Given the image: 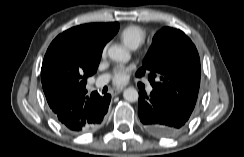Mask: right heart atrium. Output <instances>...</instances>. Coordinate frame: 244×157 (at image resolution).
<instances>
[{
	"mask_svg": "<svg viewBox=\"0 0 244 157\" xmlns=\"http://www.w3.org/2000/svg\"><path fill=\"white\" fill-rule=\"evenodd\" d=\"M106 56V47L102 50V58H105Z\"/></svg>",
	"mask_w": 244,
	"mask_h": 157,
	"instance_id": "obj_1",
	"label": "right heart atrium"
}]
</instances>
